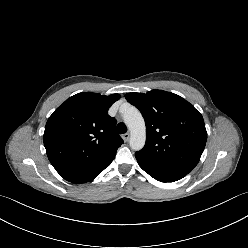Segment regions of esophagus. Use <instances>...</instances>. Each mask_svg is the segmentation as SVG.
<instances>
[{"label":"esophagus","mask_w":248,"mask_h":248,"mask_svg":"<svg viewBox=\"0 0 248 248\" xmlns=\"http://www.w3.org/2000/svg\"><path fill=\"white\" fill-rule=\"evenodd\" d=\"M129 138H130V133H125V134H123V139H124V141H128L129 140Z\"/></svg>","instance_id":"esophagus-1"}]
</instances>
